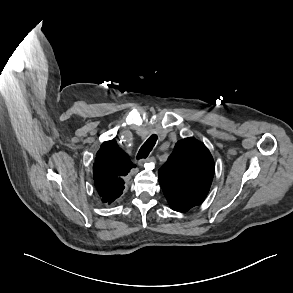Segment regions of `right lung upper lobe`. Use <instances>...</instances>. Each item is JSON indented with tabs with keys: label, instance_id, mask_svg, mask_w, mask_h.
I'll return each mask as SVG.
<instances>
[{
	"label": "right lung upper lobe",
	"instance_id": "obj_1",
	"mask_svg": "<svg viewBox=\"0 0 293 293\" xmlns=\"http://www.w3.org/2000/svg\"><path fill=\"white\" fill-rule=\"evenodd\" d=\"M129 156L117 145L116 141L104 142L96 154L94 181L104 203H112L124 190V177L135 168Z\"/></svg>",
	"mask_w": 293,
	"mask_h": 293
}]
</instances>
